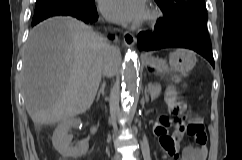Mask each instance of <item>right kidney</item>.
I'll use <instances>...</instances> for the list:
<instances>
[{
	"label": "right kidney",
	"mask_w": 242,
	"mask_h": 160,
	"mask_svg": "<svg viewBox=\"0 0 242 160\" xmlns=\"http://www.w3.org/2000/svg\"><path fill=\"white\" fill-rule=\"evenodd\" d=\"M80 123L81 120L78 118L61 121L53 133V146L65 158H78L85 155L88 151V141H83L74 147L70 146L72 136L68 135V130L72 127H78Z\"/></svg>",
	"instance_id": "1"
}]
</instances>
